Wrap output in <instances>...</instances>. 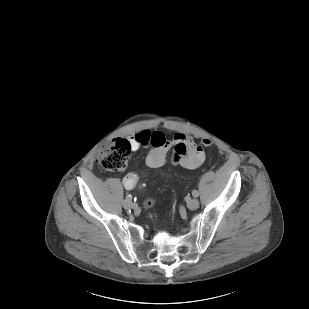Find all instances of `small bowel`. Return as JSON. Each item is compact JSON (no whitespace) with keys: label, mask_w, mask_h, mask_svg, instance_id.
Masks as SVG:
<instances>
[{"label":"small bowel","mask_w":309,"mask_h":309,"mask_svg":"<svg viewBox=\"0 0 309 309\" xmlns=\"http://www.w3.org/2000/svg\"><path fill=\"white\" fill-rule=\"evenodd\" d=\"M131 147L134 151L143 146L151 145L152 151L148 154L146 162L151 168L163 165L171 150L172 164L183 169H196L202 165L205 159L203 147L191 137L182 132H175L171 141L159 130L143 129L130 138ZM138 180V176L127 173L123 178L125 188L132 189Z\"/></svg>","instance_id":"c3829d8e"}]
</instances>
